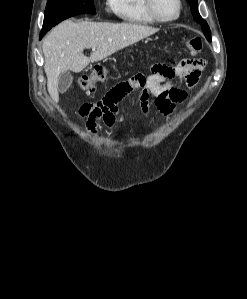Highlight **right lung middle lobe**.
Returning <instances> with one entry per match:
<instances>
[{
    "mask_svg": "<svg viewBox=\"0 0 247 299\" xmlns=\"http://www.w3.org/2000/svg\"><path fill=\"white\" fill-rule=\"evenodd\" d=\"M85 13H95L93 0H48L40 37L62 20Z\"/></svg>",
    "mask_w": 247,
    "mask_h": 299,
    "instance_id": "obj_1",
    "label": "right lung middle lobe"
}]
</instances>
